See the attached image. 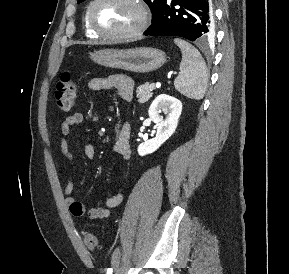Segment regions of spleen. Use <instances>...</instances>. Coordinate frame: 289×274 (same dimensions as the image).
I'll return each mask as SVG.
<instances>
[{"mask_svg": "<svg viewBox=\"0 0 289 274\" xmlns=\"http://www.w3.org/2000/svg\"><path fill=\"white\" fill-rule=\"evenodd\" d=\"M174 42L182 52L180 74L175 79L174 86L189 98L202 99L208 83L206 64L200 52L190 43L179 38H175Z\"/></svg>", "mask_w": 289, "mask_h": 274, "instance_id": "1", "label": "spleen"}]
</instances>
